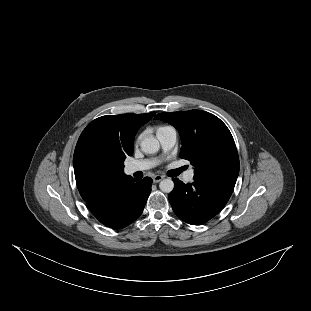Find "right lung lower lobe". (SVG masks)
Instances as JSON below:
<instances>
[{"label":"right lung lower lobe","mask_w":311,"mask_h":311,"mask_svg":"<svg viewBox=\"0 0 311 311\" xmlns=\"http://www.w3.org/2000/svg\"><path fill=\"white\" fill-rule=\"evenodd\" d=\"M152 179L134 181L130 176L116 185L104 188L87 201L92 214L105 226L121 229L143 212L151 192Z\"/></svg>","instance_id":"1"}]
</instances>
